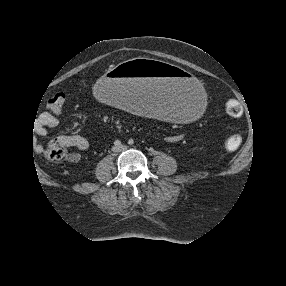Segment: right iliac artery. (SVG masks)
Returning <instances> with one entry per match:
<instances>
[{
    "label": "right iliac artery",
    "mask_w": 286,
    "mask_h": 286,
    "mask_svg": "<svg viewBox=\"0 0 286 286\" xmlns=\"http://www.w3.org/2000/svg\"><path fill=\"white\" fill-rule=\"evenodd\" d=\"M114 145L117 146V147H119V146H121V142H120L119 140H116V141L114 142Z\"/></svg>",
    "instance_id": "obj_1"
}]
</instances>
